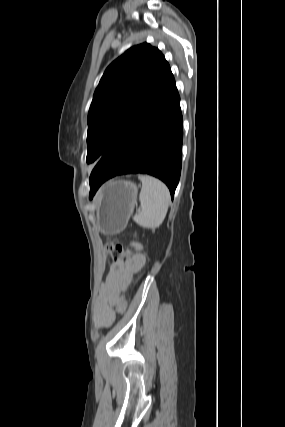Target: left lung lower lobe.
Here are the masks:
<instances>
[{
    "label": "left lung lower lobe",
    "mask_w": 285,
    "mask_h": 427,
    "mask_svg": "<svg viewBox=\"0 0 285 427\" xmlns=\"http://www.w3.org/2000/svg\"><path fill=\"white\" fill-rule=\"evenodd\" d=\"M179 102L175 80L169 70L148 105L93 169L89 179L90 198L109 178L130 173L150 174L161 179L173 198L182 157Z\"/></svg>",
    "instance_id": "0a47b994"
}]
</instances>
